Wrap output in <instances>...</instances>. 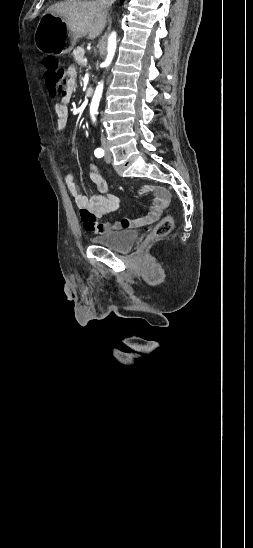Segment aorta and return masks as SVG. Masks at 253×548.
Masks as SVG:
<instances>
[{
	"label": "aorta",
	"mask_w": 253,
	"mask_h": 548,
	"mask_svg": "<svg viewBox=\"0 0 253 548\" xmlns=\"http://www.w3.org/2000/svg\"><path fill=\"white\" fill-rule=\"evenodd\" d=\"M116 33L113 32L110 37H109V40H108V54H107V57H106V60L104 62V65L105 66H108L112 59H113V56L115 54V50H116ZM102 92H103V83H99L96 90H95V93H94V96L92 98V102H91V113L94 114L96 113L97 111V108H98V105H99V102H100V98L102 96Z\"/></svg>",
	"instance_id": "1"
}]
</instances>
